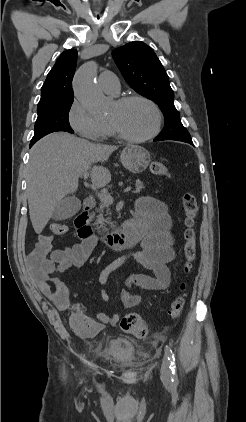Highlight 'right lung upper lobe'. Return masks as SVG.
<instances>
[{
	"instance_id": "1",
	"label": "right lung upper lobe",
	"mask_w": 246,
	"mask_h": 422,
	"mask_svg": "<svg viewBox=\"0 0 246 422\" xmlns=\"http://www.w3.org/2000/svg\"><path fill=\"white\" fill-rule=\"evenodd\" d=\"M77 63V51H64L48 73L41 88V99L38 108L63 99L73 97L72 79Z\"/></svg>"
}]
</instances>
